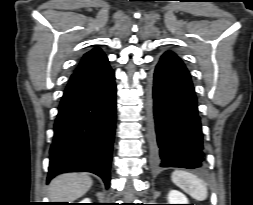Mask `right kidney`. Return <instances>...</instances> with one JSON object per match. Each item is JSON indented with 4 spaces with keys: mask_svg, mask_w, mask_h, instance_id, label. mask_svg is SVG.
<instances>
[{
    "mask_svg": "<svg viewBox=\"0 0 253 205\" xmlns=\"http://www.w3.org/2000/svg\"><path fill=\"white\" fill-rule=\"evenodd\" d=\"M80 203H91L89 198H84Z\"/></svg>",
    "mask_w": 253,
    "mask_h": 205,
    "instance_id": "right-kidney-1",
    "label": "right kidney"
}]
</instances>
